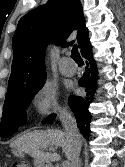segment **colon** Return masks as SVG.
I'll return each mask as SVG.
<instances>
[{"label": "colon", "instance_id": "obj_1", "mask_svg": "<svg viewBox=\"0 0 125 167\" xmlns=\"http://www.w3.org/2000/svg\"><path fill=\"white\" fill-rule=\"evenodd\" d=\"M13 167H30V165L27 162H21L18 165H14Z\"/></svg>", "mask_w": 125, "mask_h": 167}]
</instances>
